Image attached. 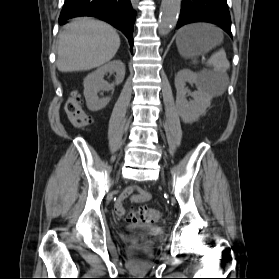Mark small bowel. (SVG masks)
<instances>
[{"label": "small bowel", "mask_w": 279, "mask_h": 279, "mask_svg": "<svg viewBox=\"0 0 279 279\" xmlns=\"http://www.w3.org/2000/svg\"><path fill=\"white\" fill-rule=\"evenodd\" d=\"M149 194L145 190L139 188L126 189L115 202V212L117 215L122 216L125 213L123 202L126 199L133 200L135 202H144L148 199Z\"/></svg>", "instance_id": "obj_1"}]
</instances>
